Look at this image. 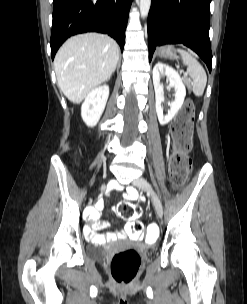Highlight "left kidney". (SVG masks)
Returning a JSON list of instances; mask_svg holds the SVG:
<instances>
[{"mask_svg":"<svg viewBox=\"0 0 247 304\" xmlns=\"http://www.w3.org/2000/svg\"><path fill=\"white\" fill-rule=\"evenodd\" d=\"M161 75H165L169 80V87L175 89V99L170 104L167 115H163L162 102L164 101L163 86L160 83ZM153 84L155 90L156 112L161 125L170 122L183 105L186 96V89L179 74L171 67L161 62L155 64L153 68Z\"/></svg>","mask_w":247,"mask_h":304,"instance_id":"1","label":"left kidney"}]
</instances>
